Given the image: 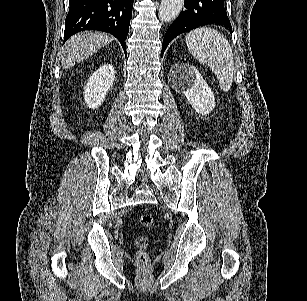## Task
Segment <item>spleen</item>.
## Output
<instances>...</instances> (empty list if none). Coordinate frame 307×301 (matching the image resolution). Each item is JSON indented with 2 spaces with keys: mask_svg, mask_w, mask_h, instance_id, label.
<instances>
[{
  "mask_svg": "<svg viewBox=\"0 0 307 301\" xmlns=\"http://www.w3.org/2000/svg\"><path fill=\"white\" fill-rule=\"evenodd\" d=\"M186 44L194 58L212 68L220 88L230 90L234 78V56L226 36L219 30L202 26L187 32Z\"/></svg>",
  "mask_w": 307,
  "mask_h": 301,
  "instance_id": "spleen-1",
  "label": "spleen"
}]
</instances>
